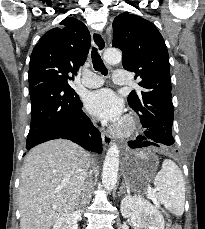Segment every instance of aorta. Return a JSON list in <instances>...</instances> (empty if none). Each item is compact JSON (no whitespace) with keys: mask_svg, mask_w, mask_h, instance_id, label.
<instances>
[{"mask_svg":"<svg viewBox=\"0 0 205 229\" xmlns=\"http://www.w3.org/2000/svg\"><path fill=\"white\" fill-rule=\"evenodd\" d=\"M104 60L108 64H116L122 60V53L115 48L106 49L103 54ZM119 148L112 144L108 149L102 171V183L106 190L111 191L117 184V175L119 170Z\"/></svg>","mask_w":205,"mask_h":229,"instance_id":"1","label":"aorta"}]
</instances>
